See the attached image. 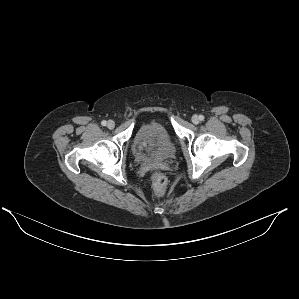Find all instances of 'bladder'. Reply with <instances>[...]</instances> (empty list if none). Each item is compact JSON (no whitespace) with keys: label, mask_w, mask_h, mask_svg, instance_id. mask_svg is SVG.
I'll list each match as a JSON object with an SVG mask.
<instances>
[{"label":"bladder","mask_w":299,"mask_h":299,"mask_svg":"<svg viewBox=\"0 0 299 299\" xmlns=\"http://www.w3.org/2000/svg\"><path fill=\"white\" fill-rule=\"evenodd\" d=\"M134 147L137 151L149 148L152 155L168 161L176 154V142L169 130L160 122L148 121L143 123L134 137Z\"/></svg>","instance_id":"bladder-1"}]
</instances>
